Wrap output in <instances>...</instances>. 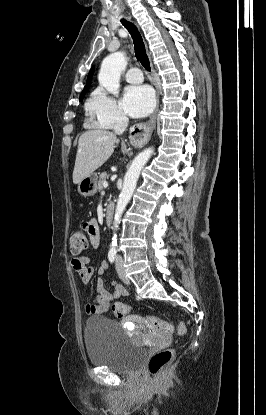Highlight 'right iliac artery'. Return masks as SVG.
<instances>
[{"mask_svg":"<svg viewBox=\"0 0 266 415\" xmlns=\"http://www.w3.org/2000/svg\"><path fill=\"white\" fill-rule=\"evenodd\" d=\"M116 258V252L115 251H110L108 253V259L111 263H113L115 261Z\"/></svg>","mask_w":266,"mask_h":415,"instance_id":"1","label":"right iliac artery"}]
</instances>
